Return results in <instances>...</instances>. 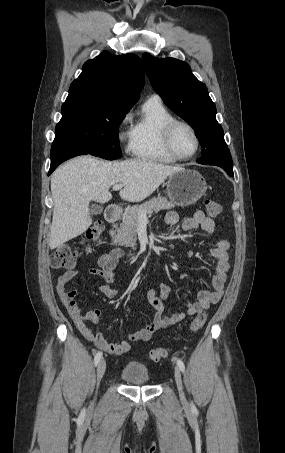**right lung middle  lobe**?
<instances>
[{
    "mask_svg": "<svg viewBox=\"0 0 285 453\" xmlns=\"http://www.w3.org/2000/svg\"><path fill=\"white\" fill-rule=\"evenodd\" d=\"M128 111L104 104L64 103L55 138L77 146L82 154L117 159L122 155L118 128Z\"/></svg>",
    "mask_w": 285,
    "mask_h": 453,
    "instance_id": "dd1d6c3e",
    "label": "right lung middle lobe"
}]
</instances>
